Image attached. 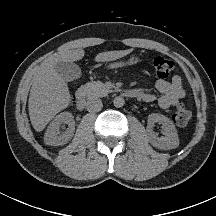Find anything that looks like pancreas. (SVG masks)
Wrapping results in <instances>:
<instances>
[{"mask_svg":"<svg viewBox=\"0 0 216 216\" xmlns=\"http://www.w3.org/2000/svg\"><path fill=\"white\" fill-rule=\"evenodd\" d=\"M85 87L88 90V94L95 97H103L112 92V90L108 89L101 81L88 82L85 84Z\"/></svg>","mask_w":216,"mask_h":216,"instance_id":"obj_1","label":"pancreas"}]
</instances>
